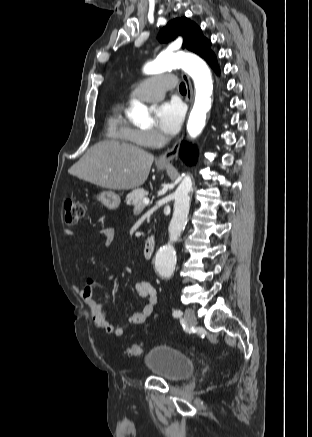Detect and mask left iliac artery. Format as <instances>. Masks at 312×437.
<instances>
[{
    "instance_id": "obj_1",
    "label": "left iliac artery",
    "mask_w": 312,
    "mask_h": 437,
    "mask_svg": "<svg viewBox=\"0 0 312 437\" xmlns=\"http://www.w3.org/2000/svg\"><path fill=\"white\" fill-rule=\"evenodd\" d=\"M173 316L175 318L181 317L182 316V312L180 310H175V311H173Z\"/></svg>"
}]
</instances>
